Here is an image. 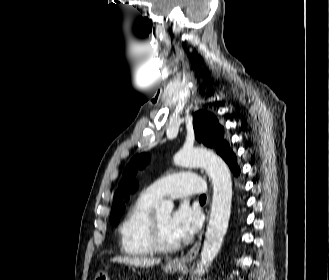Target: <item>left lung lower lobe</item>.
<instances>
[{"instance_id": "0a47b994", "label": "left lung lower lobe", "mask_w": 329, "mask_h": 280, "mask_svg": "<svg viewBox=\"0 0 329 280\" xmlns=\"http://www.w3.org/2000/svg\"><path fill=\"white\" fill-rule=\"evenodd\" d=\"M229 166L235 175L239 174L240 170H239L236 162L231 163Z\"/></svg>"}]
</instances>
